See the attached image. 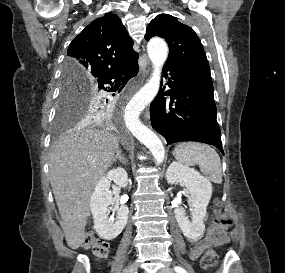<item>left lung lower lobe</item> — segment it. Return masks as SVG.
Segmentation results:
<instances>
[{"label":"left lung lower lobe","instance_id":"0a47b994","mask_svg":"<svg viewBox=\"0 0 285 273\" xmlns=\"http://www.w3.org/2000/svg\"><path fill=\"white\" fill-rule=\"evenodd\" d=\"M163 73L170 90L160 91L150 105L153 128L167 144L197 141L216 146L223 154L213 84L189 78L166 64ZM170 96L166 102L164 96Z\"/></svg>","mask_w":285,"mask_h":273}]
</instances>
